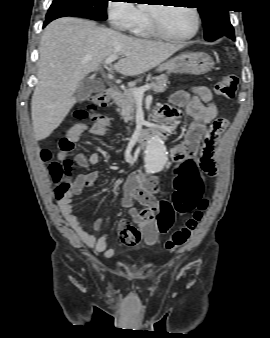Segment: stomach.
I'll return each mask as SVG.
<instances>
[{"label":"stomach","mask_w":270,"mask_h":338,"mask_svg":"<svg viewBox=\"0 0 270 338\" xmlns=\"http://www.w3.org/2000/svg\"><path fill=\"white\" fill-rule=\"evenodd\" d=\"M213 59L206 53H182L179 56L161 64L159 72L168 70L172 73H188L202 75L211 71Z\"/></svg>","instance_id":"1"}]
</instances>
